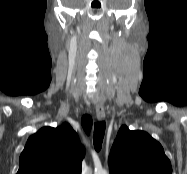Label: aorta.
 Returning a JSON list of instances; mask_svg holds the SVG:
<instances>
[{
    "instance_id": "762f6f07",
    "label": "aorta",
    "mask_w": 187,
    "mask_h": 174,
    "mask_svg": "<svg viewBox=\"0 0 187 174\" xmlns=\"http://www.w3.org/2000/svg\"><path fill=\"white\" fill-rule=\"evenodd\" d=\"M94 174H109L106 170H96Z\"/></svg>"
}]
</instances>
